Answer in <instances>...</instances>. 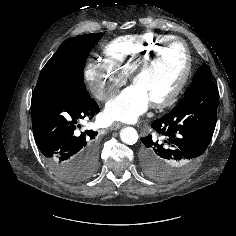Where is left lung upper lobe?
I'll list each match as a JSON object with an SVG mask.
<instances>
[{
	"label": "left lung upper lobe",
	"mask_w": 236,
	"mask_h": 236,
	"mask_svg": "<svg viewBox=\"0 0 236 236\" xmlns=\"http://www.w3.org/2000/svg\"><path fill=\"white\" fill-rule=\"evenodd\" d=\"M213 80L212 78V74L210 71V68L208 65H206L205 63L200 67V69H198L197 73L195 74L193 81L190 85V87L187 89L185 95L191 91L193 88L197 87L198 85H200L203 82L206 81H210Z\"/></svg>",
	"instance_id": "1"
}]
</instances>
